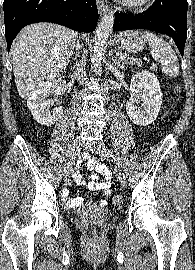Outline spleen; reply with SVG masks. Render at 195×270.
Wrapping results in <instances>:
<instances>
[{
    "instance_id": "1",
    "label": "spleen",
    "mask_w": 195,
    "mask_h": 270,
    "mask_svg": "<svg viewBox=\"0 0 195 270\" xmlns=\"http://www.w3.org/2000/svg\"><path fill=\"white\" fill-rule=\"evenodd\" d=\"M143 35L149 42L153 59L161 63L162 72L169 77H177L179 75V63L171 45L152 32L145 31Z\"/></svg>"
}]
</instances>
